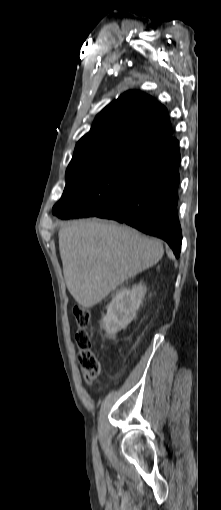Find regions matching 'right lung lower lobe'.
I'll list each match as a JSON object with an SVG mask.
<instances>
[{
  "mask_svg": "<svg viewBox=\"0 0 221 510\" xmlns=\"http://www.w3.org/2000/svg\"><path fill=\"white\" fill-rule=\"evenodd\" d=\"M180 151L174 141L147 157L125 193L111 206L86 211L78 206L62 219L97 216L126 223L163 239L176 257L181 251L182 232L177 214Z\"/></svg>",
  "mask_w": 221,
  "mask_h": 510,
  "instance_id": "right-lung-lower-lobe-1",
  "label": "right lung lower lobe"
}]
</instances>
